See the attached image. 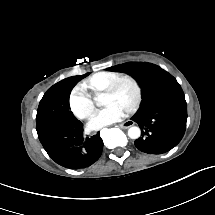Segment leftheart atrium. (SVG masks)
Returning a JSON list of instances; mask_svg holds the SVG:
<instances>
[{"instance_id":"left-heart-atrium-1","label":"left heart atrium","mask_w":215,"mask_h":215,"mask_svg":"<svg viewBox=\"0 0 215 215\" xmlns=\"http://www.w3.org/2000/svg\"><path fill=\"white\" fill-rule=\"evenodd\" d=\"M124 114V109L120 105L108 107L97 114V117L93 118L91 125L93 129L100 131L104 127L111 126L120 122Z\"/></svg>"}]
</instances>
